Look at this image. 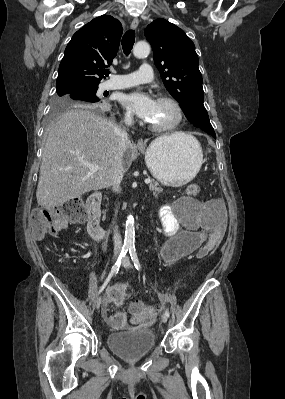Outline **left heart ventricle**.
Wrapping results in <instances>:
<instances>
[{
  "label": "left heart ventricle",
  "mask_w": 285,
  "mask_h": 399,
  "mask_svg": "<svg viewBox=\"0 0 285 399\" xmlns=\"http://www.w3.org/2000/svg\"><path fill=\"white\" fill-rule=\"evenodd\" d=\"M176 116V111L171 104L157 101L154 115L149 122L153 125H167L175 121Z\"/></svg>",
  "instance_id": "obj_1"
}]
</instances>
